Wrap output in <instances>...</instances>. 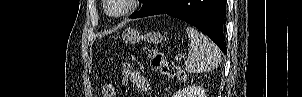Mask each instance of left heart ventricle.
Instances as JSON below:
<instances>
[{
	"label": "left heart ventricle",
	"instance_id": "obj_1",
	"mask_svg": "<svg viewBox=\"0 0 302 97\" xmlns=\"http://www.w3.org/2000/svg\"><path fill=\"white\" fill-rule=\"evenodd\" d=\"M126 8L125 0H111L110 10L113 13H119Z\"/></svg>",
	"mask_w": 302,
	"mask_h": 97
}]
</instances>
